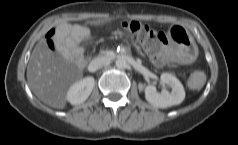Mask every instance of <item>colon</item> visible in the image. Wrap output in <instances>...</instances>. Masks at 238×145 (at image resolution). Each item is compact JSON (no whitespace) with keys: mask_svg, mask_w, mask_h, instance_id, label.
Wrapping results in <instances>:
<instances>
[{"mask_svg":"<svg viewBox=\"0 0 238 145\" xmlns=\"http://www.w3.org/2000/svg\"><path fill=\"white\" fill-rule=\"evenodd\" d=\"M122 27L138 39L153 60L157 62L163 60L167 39L162 32L154 30L137 21L123 22ZM52 35L53 32H50L48 35V45L50 48L54 47L53 41L51 40ZM204 82L205 78L203 74L195 73L189 79V86L193 90H199L204 85Z\"/></svg>","mask_w":238,"mask_h":145,"instance_id":"1","label":"colon"}]
</instances>
